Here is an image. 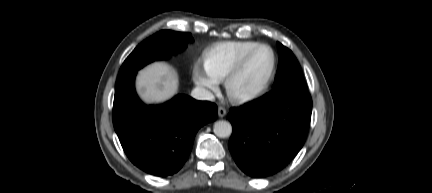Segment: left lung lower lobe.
I'll return each instance as SVG.
<instances>
[{
    "instance_id": "left-lung-lower-lobe-1",
    "label": "left lung lower lobe",
    "mask_w": 432,
    "mask_h": 193,
    "mask_svg": "<svg viewBox=\"0 0 432 193\" xmlns=\"http://www.w3.org/2000/svg\"><path fill=\"white\" fill-rule=\"evenodd\" d=\"M312 111L307 91H273L245 109H231L233 133L229 150L252 177L272 175L284 168L302 148Z\"/></svg>"
}]
</instances>
